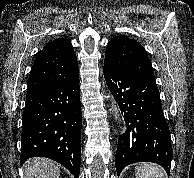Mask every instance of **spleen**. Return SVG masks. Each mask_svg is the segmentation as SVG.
Wrapping results in <instances>:
<instances>
[{
  "mask_svg": "<svg viewBox=\"0 0 194 178\" xmlns=\"http://www.w3.org/2000/svg\"><path fill=\"white\" fill-rule=\"evenodd\" d=\"M136 178H167L165 171L152 163H140L135 168Z\"/></svg>",
  "mask_w": 194,
  "mask_h": 178,
  "instance_id": "1",
  "label": "spleen"
}]
</instances>
